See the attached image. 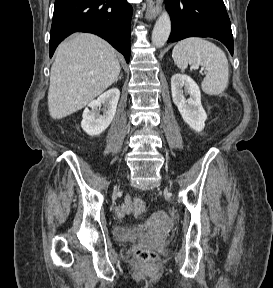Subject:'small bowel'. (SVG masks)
Returning <instances> with one entry per match:
<instances>
[{
    "instance_id": "1",
    "label": "small bowel",
    "mask_w": 273,
    "mask_h": 288,
    "mask_svg": "<svg viewBox=\"0 0 273 288\" xmlns=\"http://www.w3.org/2000/svg\"><path fill=\"white\" fill-rule=\"evenodd\" d=\"M129 213H131V197L127 196L125 203L116 207L115 214L118 218H123Z\"/></svg>"
}]
</instances>
